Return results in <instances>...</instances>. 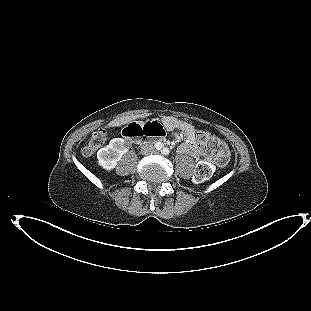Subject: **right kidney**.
I'll return each mask as SVG.
<instances>
[{
	"instance_id": "ca27d5eb",
	"label": "right kidney",
	"mask_w": 311,
	"mask_h": 311,
	"mask_svg": "<svg viewBox=\"0 0 311 311\" xmlns=\"http://www.w3.org/2000/svg\"><path fill=\"white\" fill-rule=\"evenodd\" d=\"M128 150L129 146L124 139L114 138L110 140L109 145L98 150V165L107 171L112 170Z\"/></svg>"
}]
</instances>
